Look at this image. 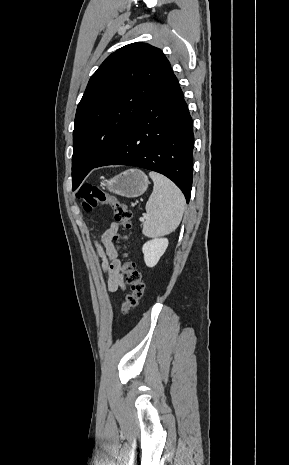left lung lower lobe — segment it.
I'll list each match as a JSON object with an SVG mask.
<instances>
[{
  "mask_svg": "<svg viewBox=\"0 0 289 465\" xmlns=\"http://www.w3.org/2000/svg\"><path fill=\"white\" fill-rule=\"evenodd\" d=\"M193 123L173 74L147 99L134 121L94 166L130 165L159 172L185 195L192 188Z\"/></svg>",
  "mask_w": 289,
  "mask_h": 465,
  "instance_id": "1",
  "label": "left lung lower lobe"
}]
</instances>
